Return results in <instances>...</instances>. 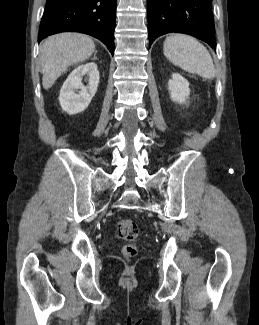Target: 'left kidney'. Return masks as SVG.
<instances>
[{
	"label": "left kidney",
	"instance_id": "5707ae66",
	"mask_svg": "<svg viewBox=\"0 0 259 325\" xmlns=\"http://www.w3.org/2000/svg\"><path fill=\"white\" fill-rule=\"evenodd\" d=\"M168 89L172 101L183 104L190 95L188 81L179 74H172V79L168 82Z\"/></svg>",
	"mask_w": 259,
	"mask_h": 325
}]
</instances>
